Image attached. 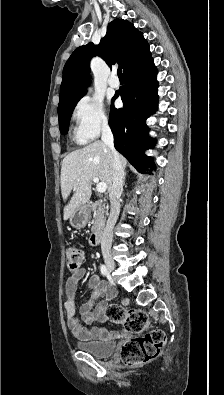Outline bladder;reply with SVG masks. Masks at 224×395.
Listing matches in <instances>:
<instances>
[{"label": "bladder", "instance_id": "1", "mask_svg": "<svg viewBox=\"0 0 224 395\" xmlns=\"http://www.w3.org/2000/svg\"><path fill=\"white\" fill-rule=\"evenodd\" d=\"M76 347L84 353L103 358L113 354L116 344L113 341H80L76 343Z\"/></svg>", "mask_w": 224, "mask_h": 395}]
</instances>
